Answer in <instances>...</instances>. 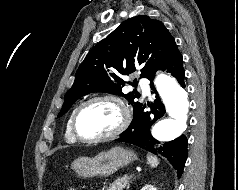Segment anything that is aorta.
Listing matches in <instances>:
<instances>
[{
	"instance_id": "obj_1",
	"label": "aorta",
	"mask_w": 238,
	"mask_h": 190,
	"mask_svg": "<svg viewBox=\"0 0 238 190\" xmlns=\"http://www.w3.org/2000/svg\"><path fill=\"white\" fill-rule=\"evenodd\" d=\"M156 88L168 117L160 119L154 125L152 136L160 142H169L178 138L187 127L190 106L188 93L174 78L165 74L158 75Z\"/></svg>"
}]
</instances>
